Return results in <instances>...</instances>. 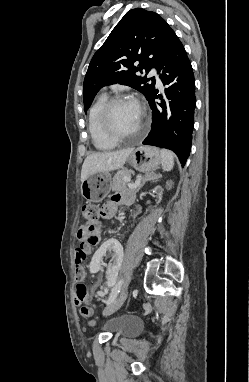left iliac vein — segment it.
<instances>
[{"mask_svg": "<svg viewBox=\"0 0 249 382\" xmlns=\"http://www.w3.org/2000/svg\"><path fill=\"white\" fill-rule=\"evenodd\" d=\"M128 296V291H123L121 295L115 299L112 303L108 304L103 311V315L109 316L116 312L125 302Z\"/></svg>", "mask_w": 249, "mask_h": 382, "instance_id": "1", "label": "left iliac vein"}]
</instances>
